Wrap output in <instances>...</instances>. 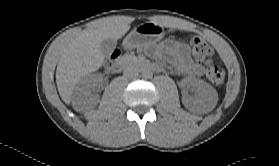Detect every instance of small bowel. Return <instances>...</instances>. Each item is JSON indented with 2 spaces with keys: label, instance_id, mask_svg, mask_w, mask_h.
<instances>
[{
  "label": "small bowel",
  "instance_id": "c3829d8e",
  "mask_svg": "<svg viewBox=\"0 0 279 166\" xmlns=\"http://www.w3.org/2000/svg\"><path fill=\"white\" fill-rule=\"evenodd\" d=\"M156 55L169 60L181 74L200 76L203 73V64L193 62L188 47L177 40L172 39L163 43L157 49Z\"/></svg>",
  "mask_w": 279,
  "mask_h": 166
}]
</instances>
